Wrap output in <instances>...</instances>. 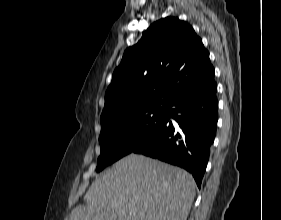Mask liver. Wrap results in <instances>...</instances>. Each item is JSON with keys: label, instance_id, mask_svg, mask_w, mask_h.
<instances>
[{"label": "liver", "instance_id": "obj_1", "mask_svg": "<svg viewBox=\"0 0 281 220\" xmlns=\"http://www.w3.org/2000/svg\"><path fill=\"white\" fill-rule=\"evenodd\" d=\"M196 184L185 170L130 154L96 178L69 220H186Z\"/></svg>", "mask_w": 281, "mask_h": 220}]
</instances>
